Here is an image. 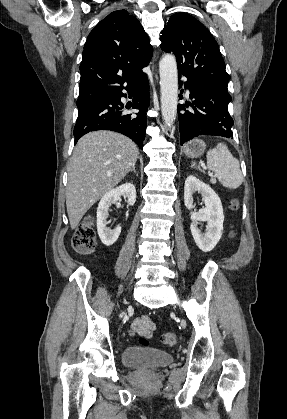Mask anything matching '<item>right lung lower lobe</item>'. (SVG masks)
I'll return each instance as SVG.
<instances>
[{
  "label": "right lung lower lobe",
  "mask_w": 287,
  "mask_h": 419,
  "mask_svg": "<svg viewBox=\"0 0 287 419\" xmlns=\"http://www.w3.org/2000/svg\"><path fill=\"white\" fill-rule=\"evenodd\" d=\"M133 97L131 106H124L121 97H126L122 90L103 97L78 114L74 128L75 142L90 131L111 130L128 136L140 149L146 133V111L150 103L149 82L144 74L134 84L125 87ZM130 107L138 109L136 116L126 113Z\"/></svg>",
  "instance_id": "right-lung-lower-lobe-1"
}]
</instances>
